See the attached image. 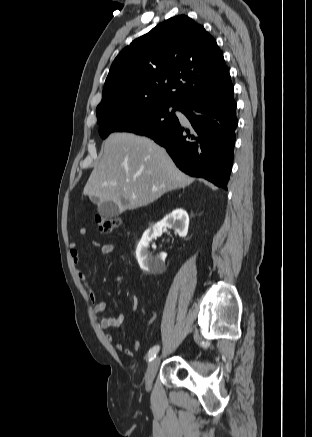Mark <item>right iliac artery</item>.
<instances>
[{
	"label": "right iliac artery",
	"instance_id": "1",
	"mask_svg": "<svg viewBox=\"0 0 312 437\" xmlns=\"http://www.w3.org/2000/svg\"><path fill=\"white\" fill-rule=\"evenodd\" d=\"M159 349H160L159 345L154 346L150 349V351L148 353V361L149 362L152 361L156 357V354L158 353Z\"/></svg>",
	"mask_w": 312,
	"mask_h": 437
}]
</instances>
